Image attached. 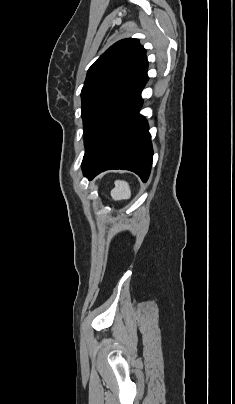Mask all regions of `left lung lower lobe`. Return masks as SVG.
<instances>
[{"instance_id":"0a47b994","label":"left lung lower lobe","mask_w":235,"mask_h":404,"mask_svg":"<svg viewBox=\"0 0 235 404\" xmlns=\"http://www.w3.org/2000/svg\"><path fill=\"white\" fill-rule=\"evenodd\" d=\"M146 83L107 119L88 145L82 169L89 180L108 169L130 170L143 182L148 180L153 150L148 123L139 114Z\"/></svg>"}]
</instances>
